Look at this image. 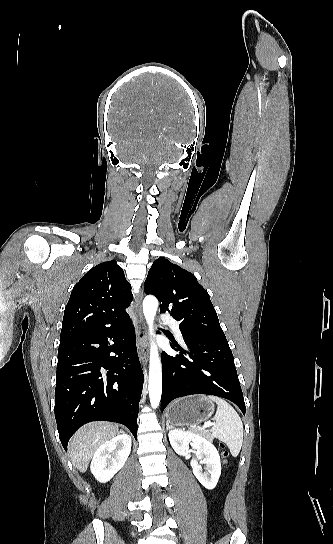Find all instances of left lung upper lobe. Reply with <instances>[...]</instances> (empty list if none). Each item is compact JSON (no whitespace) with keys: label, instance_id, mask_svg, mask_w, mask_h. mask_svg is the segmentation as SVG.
Listing matches in <instances>:
<instances>
[{"label":"left lung upper lobe","instance_id":"left-lung-upper-lobe-1","mask_svg":"<svg viewBox=\"0 0 333 544\" xmlns=\"http://www.w3.org/2000/svg\"><path fill=\"white\" fill-rule=\"evenodd\" d=\"M144 290L157 297L161 313L168 311L180 322L183 336L226 339L209 294L187 270L159 258L148 272Z\"/></svg>","mask_w":333,"mask_h":544}]
</instances>
